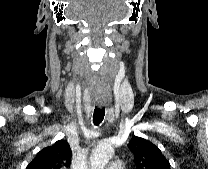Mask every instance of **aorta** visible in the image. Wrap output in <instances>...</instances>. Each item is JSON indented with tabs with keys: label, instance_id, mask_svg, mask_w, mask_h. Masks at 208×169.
Instances as JSON below:
<instances>
[{
	"label": "aorta",
	"instance_id": "762f6f07",
	"mask_svg": "<svg viewBox=\"0 0 208 169\" xmlns=\"http://www.w3.org/2000/svg\"><path fill=\"white\" fill-rule=\"evenodd\" d=\"M114 155L113 147L108 143H100L90 157L91 169H104Z\"/></svg>",
	"mask_w": 208,
	"mask_h": 169
}]
</instances>
